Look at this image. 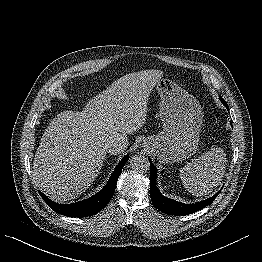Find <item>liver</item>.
I'll return each mask as SVG.
<instances>
[{"label": "liver", "mask_w": 262, "mask_h": 262, "mask_svg": "<svg viewBox=\"0 0 262 262\" xmlns=\"http://www.w3.org/2000/svg\"><path fill=\"white\" fill-rule=\"evenodd\" d=\"M160 70L129 73L93 97L82 112L63 111L45 130L33 161L32 180L52 200L80 196L98 176L108 145L127 140L147 118Z\"/></svg>", "instance_id": "liver-1"}]
</instances>
